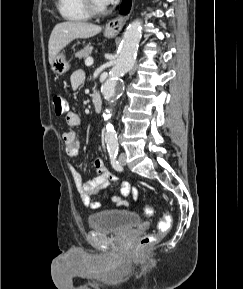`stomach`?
I'll return each mask as SVG.
<instances>
[{"instance_id":"0dacf381","label":"stomach","mask_w":243,"mask_h":289,"mask_svg":"<svg viewBox=\"0 0 243 289\" xmlns=\"http://www.w3.org/2000/svg\"><path fill=\"white\" fill-rule=\"evenodd\" d=\"M105 36L112 38L114 35L105 33ZM51 69L55 74L62 75L70 69V62L63 53H58L51 64Z\"/></svg>"}]
</instances>
